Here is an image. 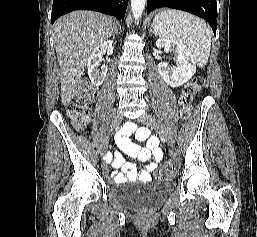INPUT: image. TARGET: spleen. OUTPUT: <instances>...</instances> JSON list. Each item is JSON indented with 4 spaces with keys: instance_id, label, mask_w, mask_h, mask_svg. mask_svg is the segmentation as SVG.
<instances>
[{
    "instance_id": "1",
    "label": "spleen",
    "mask_w": 257,
    "mask_h": 237,
    "mask_svg": "<svg viewBox=\"0 0 257 237\" xmlns=\"http://www.w3.org/2000/svg\"><path fill=\"white\" fill-rule=\"evenodd\" d=\"M152 26L161 39L185 44L199 67L206 65L211 49V31L204 21L182 11L164 10L154 17Z\"/></svg>"
}]
</instances>
